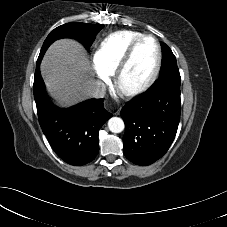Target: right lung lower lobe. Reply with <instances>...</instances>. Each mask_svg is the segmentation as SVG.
Segmentation results:
<instances>
[{
    "mask_svg": "<svg viewBox=\"0 0 227 227\" xmlns=\"http://www.w3.org/2000/svg\"><path fill=\"white\" fill-rule=\"evenodd\" d=\"M38 58L33 92L40 126L52 149L66 163L81 166L91 162L99 152L98 134L112 117L103 99H90L62 109L48 99L40 75Z\"/></svg>",
    "mask_w": 227,
    "mask_h": 227,
    "instance_id": "1",
    "label": "right lung lower lobe"
}]
</instances>
